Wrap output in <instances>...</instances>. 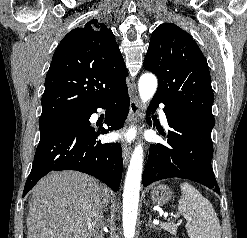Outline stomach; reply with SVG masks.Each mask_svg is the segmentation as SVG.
Instances as JSON below:
<instances>
[{"label":"stomach","mask_w":247,"mask_h":238,"mask_svg":"<svg viewBox=\"0 0 247 238\" xmlns=\"http://www.w3.org/2000/svg\"><path fill=\"white\" fill-rule=\"evenodd\" d=\"M151 200L155 205L163 206L172 198V190L168 185L158 184L151 190Z\"/></svg>","instance_id":"obj_1"}]
</instances>
